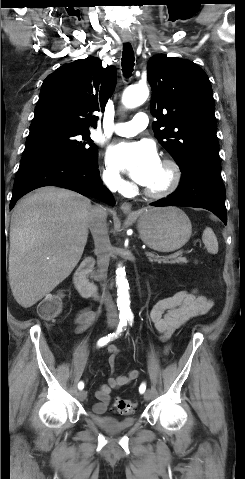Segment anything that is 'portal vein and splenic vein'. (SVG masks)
I'll return each mask as SVG.
<instances>
[{
    "label": "portal vein and splenic vein",
    "instance_id": "1",
    "mask_svg": "<svg viewBox=\"0 0 245 479\" xmlns=\"http://www.w3.org/2000/svg\"><path fill=\"white\" fill-rule=\"evenodd\" d=\"M182 253H183L182 251H177V252L171 254L170 257H179V256L182 255ZM145 254H146V256H148L149 258L155 256L152 252H146Z\"/></svg>",
    "mask_w": 245,
    "mask_h": 479
}]
</instances>
